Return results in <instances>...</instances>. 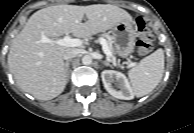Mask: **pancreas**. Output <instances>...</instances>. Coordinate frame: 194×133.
<instances>
[{
    "label": "pancreas",
    "mask_w": 194,
    "mask_h": 133,
    "mask_svg": "<svg viewBox=\"0 0 194 133\" xmlns=\"http://www.w3.org/2000/svg\"><path fill=\"white\" fill-rule=\"evenodd\" d=\"M105 35V34H104ZM108 47H109V50L111 51V52H113V47H112V45L110 44V42H111V39H109L108 40Z\"/></svg>",
    "instance_id": "cf45deb5"
}]
</instances>
